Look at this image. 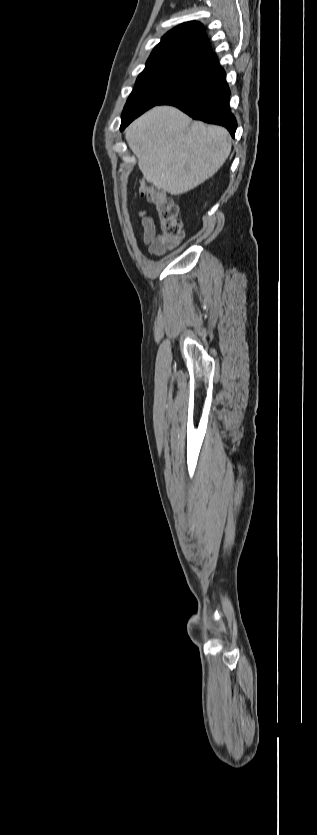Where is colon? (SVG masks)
I'll return each instance as SVG.
<instances>
[{"label":"colon","instance_id":"1","mask_svg":"<svg viewBox=\"0 0 317 835\" xmlns=\"http://www.w3.org/2000/svg\"><path fill=\"white\" fill-rule=\"evenodd\" d=\"M141 196L155 205L161 223V242L163 250L176 247L183 238L182 222L179 219V207L164 191L142 182L139 187Z\"/></svg>","mask_w":317,"mask_h":835}]
</instances>
